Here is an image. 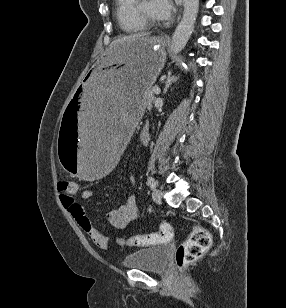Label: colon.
<instances>
[{
  "instance_id": "obj_1",
  "label": "colon",
  "mask_w": 286,
  "mask_h": 308,
  "mask_svg": "<svg viewBox=\"0 0 286 308\" xmlns=\"http://www.w3.org/2000/svg\"><path fill=\"white\" fill-rule=\"evenodd\" d=\"M58 190L63 197L73 198L78 191V184L73 180H62L58 183ZM173 237L172 228L163 223L157 233L136 235L127 239L120 238L119 244L126 246H153L170 241ZM210 233L201 226H194L189 238L177 249L175 260L178 268L182 269L191 264L211 246Z\"/></svg>"
}]
</instances>
